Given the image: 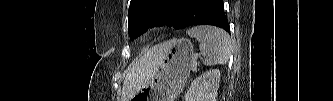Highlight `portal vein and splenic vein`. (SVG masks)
<instances>
[{"label":"portal vein and splenic vein","mask_w":333,"mask_h":101,"mask_svg":"<svg viewBox=\"0 0 333 101\" xmlns=\"http://www.w3.org/2000/svg\"><path fill=\"white\" fill-rule=\"evenodd\" d=\"M197 58H198V55H196L194 57V60H193L192 66H191L193 71H196V66H197V61L196 60H197Z\"/></svg>","instance_id":"18ae733b"}]
</instances>
